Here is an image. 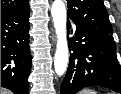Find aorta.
<instances>
[{
	"label": "aorta",
	"mask_w": 121,
	"mask_h": 94,
	"mask_svg": "<svg viewBox=\"0 0 121 94\" xmlns=\"http://www.w3.org/2000/svg\"><path fill=\"white\" fill-rule=\"evenodd\" d=\"M51 15L57 35V46L54 58V68L58 76H62L68 66V44L66 37V7L63 0H54Z\"/></svg>",
	"instance_id": "762f6f07"
}]
</instances>
